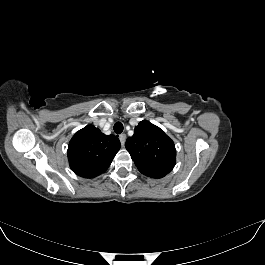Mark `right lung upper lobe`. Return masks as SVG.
<instances>
[{
  "label": "right lung upper lobe",
  "mask_w": 265,
  "mask_h": 265,
  "mask_svg": "<svg viewBox=\"0 0 265 265\" xmlns=\"http://www.w3.org/2000/svg\"><path fill=\"white\" fill-rule=\"evenodd\" d=\"M120 146L116 136L105 135L88 125L76 132L69 142V165L78 176L96 177L107 170Z\"/></svg>",
  "instance_id": "right-lung-upper-lobe-1"
}]
</instances>
